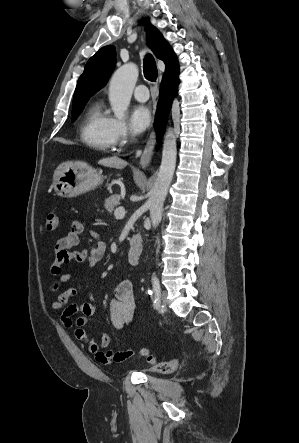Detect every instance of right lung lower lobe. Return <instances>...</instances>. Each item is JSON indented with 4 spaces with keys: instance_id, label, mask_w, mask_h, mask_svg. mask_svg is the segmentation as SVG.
Here are the masks:
<instances>
[{
    "instance_id": "98d812e1",
    "label": "right lung lower lobe",
    "mask_w": 299,
    "mask_h": 443,
    "mask_svg": "<svg viewBox=\"0 0 299 443\" xmlns=\"http://www.w3.org/2000/svg\"><path fill=\"white\" fill-rule=\"evenodd\" d=\"M177 76L178 74L172 76H164L161 83L160 99L158 102L155 124L159 137H161L164 132L168 112L172 103V98L175 95L179 83Z\"/></svg>"
}]
</instances>
